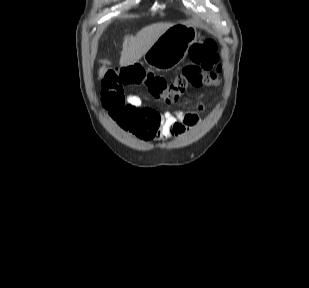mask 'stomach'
I'll return each instance as SVG.
<instances>
[{
    "label": "stomach",
    "mask_w": 309,
    "mask_h": 288,
    "mask_svg": "<svg viewBox=\"0 0 309 288\" xmlns=\"http://www.w3.org/2000/svg\"><path fill=\"white\" fill-rule=\"evenodd\" d=\"M197 39L196 28L189 23H177L167 29L144 54L145 62L157 71L176 67Z\"/></svg>",
    "instance_id": "stomach-1"
}]
</instances>
